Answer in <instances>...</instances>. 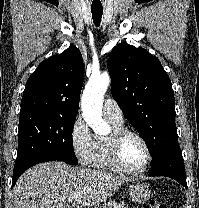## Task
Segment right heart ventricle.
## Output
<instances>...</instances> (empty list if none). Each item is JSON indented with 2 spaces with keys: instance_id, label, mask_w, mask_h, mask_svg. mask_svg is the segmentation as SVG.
<instances>
[{
  "instance_id": "obj_1",
  "label": "right heart ventricle",
  "mask_w": 199,
  "mask_h": 208,
  "mask_svg": "<svg viewBox=\"0 0 199 208\" xmlns=\"http://www.w3.org/2000/svg\"><path fill=\"white\" fill-rule=\"evenodd\" d=\"M112 125L113 132L123 128V124H115L109 121ZM109 138H98L95 141V152L92 160V166L96 169L119 171L111 162L108 151Z\"/></svg>"
}]
</instances>
